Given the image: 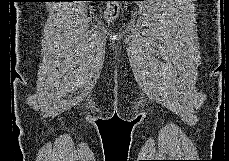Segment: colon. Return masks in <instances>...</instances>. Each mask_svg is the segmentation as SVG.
<instances>
[{"label": "colon", "mask_w": 229, "mask_h": 161, "mask_svg": "<svg viewBox=\"0 0 229 161\" xmlns=\"http://www.w3.org/2000/svg\"><path fill=\"white\" fill-rule=\"evenodd\" d=\"M119 14V6L115 3L109 4L104 11L103 17L106 21L111 22L117 18Z\"/></svg>", "instance_id": "obj_1"}]
</instances>
